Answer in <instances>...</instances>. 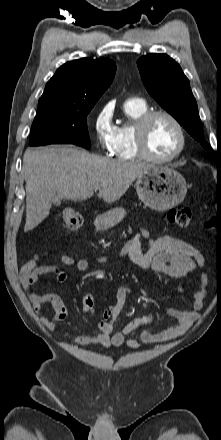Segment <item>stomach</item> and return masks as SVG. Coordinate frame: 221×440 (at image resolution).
Instances as JSON below:
<instances>
[{
    "mask_svg": "<svg viewBox=\"0 0 221 440\" xmlns=\"http://www.w3.org/2000/svg\"><path fill=\"white\" fill-rule=\"evenodd\" d=\"M136 190L144 204L154 210L165 211L183 201L187 184L176 170L167 166H153L137 177ZM125 215V209L117 207L98 216L94 225L98 230H107L117 225Z\"/></svg>",
    "mask_w": 221,
    "mask_h": 440,
    "instance_id": "stomach-1",
    "label": "stomach"
}]
</instances>
